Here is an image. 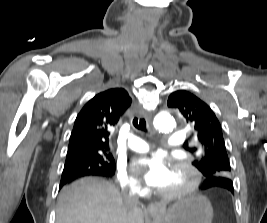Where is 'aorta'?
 Listing matches in <instances>:
<instances>
[{
    "instance_id": "1",
    "label": "aorta",
    "mask_w": 267,
    "mask_h": 223,
    "mask_svg": "<svg viewBox=\"0 0 267 223\" xmlns=\"http://www.w3.org/2000/svg\"><path fill=\"white\" fill-rule=\"evenodd\" d=\"M155 127L162 132H171L176 127L175 118L172 115L159 116L155 120Z\"/></svg>"
}]
</instances>
